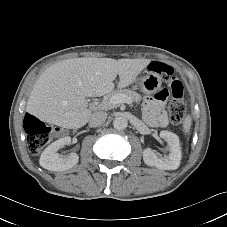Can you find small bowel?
<instances>
[{
    "label": "small bowel",
    "instance_id": "c3829d8e",
    "mask_svg": "<svg viewBox=\"0 0 227 227\" xmlns=\"http://www.w3.org/2000/svg\"><path fill=\"white\" fill-rule=\"evenodd\" d=\"M168 98L169 91L166 88H159L154 97H147L145 99V116L152 126H165L167 124V116L163 106Z\"/></svg>",
    "mask_w": 227,
    "mask_h": 227
}]
</instances>
